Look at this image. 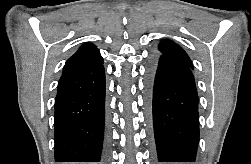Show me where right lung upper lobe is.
Segmentation results:
<instances>
[{"instance_id": "right-lung-upper-lobe-1", "label": "right lung upper lobe", "mask_w": 251, "mask_h": 164, "mask_svg": "<svg viewBox=\"0 0 251 164\" xmlns=\"http://www.w3.org/2000/svg\"><path fill=\"white\" fill-rule=\"evenodd\" d=\"M103 63V59L99 50L91 43L83 44L78 51L70 57L64 68L63 73L68 74L70 72L80 70L87 67L96 66Z\"/></svg>"}]
</instances>
